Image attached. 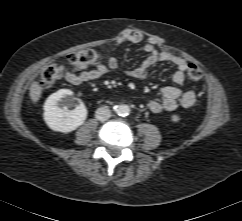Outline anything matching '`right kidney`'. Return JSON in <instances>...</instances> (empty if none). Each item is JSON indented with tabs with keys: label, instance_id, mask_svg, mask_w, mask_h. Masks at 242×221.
Listing matches in <instances>:
<instances>
[{
	"label": "right kidney",
	"instance_id": "right-kidney-1",
	"mask_svg": "<svg viewBox=\"0 0 242 221\" xmlns=\"http://www.w3.org/2000/svg\"><path fill=\"white\" fill-rule=\"evenodd\" d=\"M75 101L79 104H75ZM71 107L74 108L70 110ZM43 117L50 129L70 133L84 123L87 109L80 99L73 97L71 90L61 89L47 98Z\"/></svg>",
	"mask_w": 242,
	"mask_h": 221
}]
</instances>
